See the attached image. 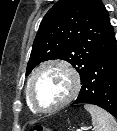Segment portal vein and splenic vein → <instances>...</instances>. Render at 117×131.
Here are the masks:
<instances>
[{"instance_id": "obj_1", "label": "portal vein and splenic vein", "mask_w": 117, "mask_h": 131, "mask_svg": "<svg viewBox=\"0 0 117 131\" xmlns=\"http://www.w3.org/2000/svg\"><path fill=\"white\" fill-rule=\"evenodd\" d=\"M81 130H85V128L82 127Z\"/></svg>"}]
</instances>
